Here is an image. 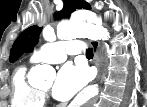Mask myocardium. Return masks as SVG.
<instances>
[{"mask_svg": "<svg viewBox=\"0 0 147 107\" xmlns=\"http://www.w3.org/2000/svg\"><path fill=\"white\" fill-rule=\"evenodd\" d=\"M43 96H48V92L45 90H39Z\"/></svg>", "mask_w": 147, "mask_h": 107, "instance_id": "myocardium-1", "label": "myocardium"}]
</instances>
